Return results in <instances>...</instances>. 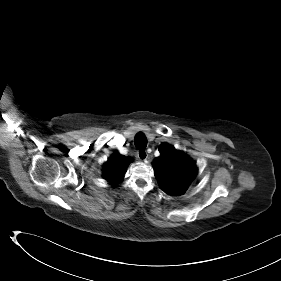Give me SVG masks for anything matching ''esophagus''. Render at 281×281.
Instances as JSON below:
<instances>
[{"label": "esophagus", "mask_w": 281, "mask_h": 281, "mask_svg": "<svg viewBox=\"0 0 281 281\" xmlns=\"http://www.w3.org/2000/svg\"><path fill=\"white\" fill-rule=\"evenodd\" d=\"M137 157L141 161H145L148 158L147 151L145 149H139L137 151Z\"/></svg>", "instance_id": "34e87169"}]
</instances>
